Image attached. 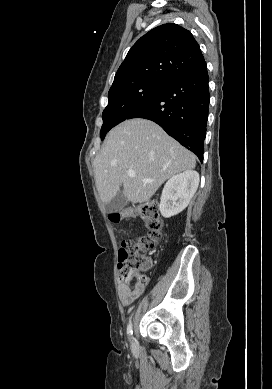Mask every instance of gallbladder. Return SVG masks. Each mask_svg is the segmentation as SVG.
<instances>
[{
    "instance_id": "1",
    "label": "gallbladder",
    "mask_w": 272,
    "mask_h": 389,
    "mask_svg": "<svg viewBox=\"0 0 272 389\" xmlns=\"http://www.w3.org/2000/svg\"><path fill=\"white\" fill-rule=\"evenodd\" d=\"M127 202L128 199L124 193V190L119 189L113 199L105 204V207L108 213H116L122 211L126 206Z\"/></svg>"
}]
</instances>
